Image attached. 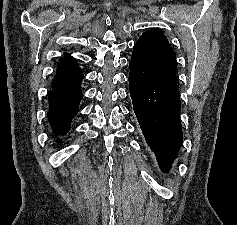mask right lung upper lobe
Returning <instances> with one entry per match:
<instances>
[{
    "instance_id": "1",
    "label": "right lung upper lobe",
    "mask_w": 237,
    "mask_h": 225,
    "mask_svg": "<svg viewBox=\"0 0 237 225\" xmlns=\"http://www.w3.org/2000/svg\"><path fill=\"white\" fill-rule=\"evenodd\" d=\"M65 61H63L57 71L52 86H74L84 78L75 58L65 53Z\"/></svg>"
}]
</instances>
